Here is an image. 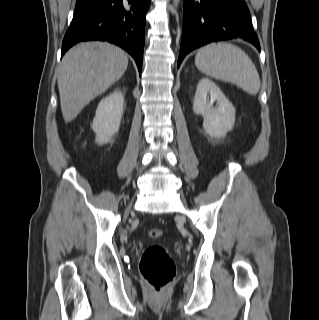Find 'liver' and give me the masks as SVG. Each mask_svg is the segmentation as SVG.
Here are the masks:
<instances>
[{
    "label": "liver",
    "instance_id": "1",
    "mask_svg": "<svg viewBox=\"0 0 319 320\" xmlns=\"http://www.w3.org/2000/svg\"><path fill=\"white\" fill-rule=\"evenodd\" d=\"M128 58L107 42H85L63 57L58 73L61 111L66 123L75 119L96 96L105 92L125 73Z\"/></svg>",
    "mask_w": 319,
    "mask_h": 320
}]
</instances>
